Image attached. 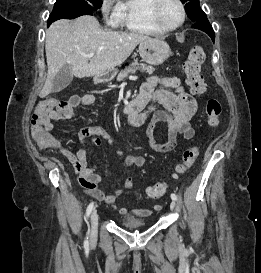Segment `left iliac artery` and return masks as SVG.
Segmentation results:
<instances>
[{
    "label": "left iliac artery",
    "mask_w": 261,
    "mask_h": 273,
    "mask_svg": "<svg viewBox=\"0 0 261 273\" xmlns=\"http://www.w3.org/2000/svg\"><path fill=\"white\" fill-rule=\"evenodd\" d=\"M171 198H172V200H175V201H176V200H177L176 194L172 193V194H171Z\"/></svg>",
    "instance_id": "1"
}]
</instances>
